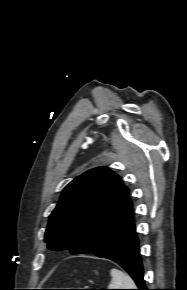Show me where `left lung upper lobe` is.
Returning a JSON list of instances; mask_svg holds the SVG:
<instances>
[{
	"instance_id": "left-lung-upper-lobe-1",
	"label": "left lung upper lobe",
	"mask_w": 187,
	"mask_h": 290,
	"mask_svg": "<svg viewBox=\"0 0 187 290\" xmlns=\"http://www.w3.org/2000/svg\"><path fill=\"white\" fill-rule=\"evenodd\" d=\"M132 208L128 189L106 167L91 169L63 190L45 232L48 248L72 254L95 251Z\"/></svg>"
}]
</instances>
